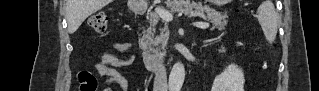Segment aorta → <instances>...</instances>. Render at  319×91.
Wrapping results in <instances>:
<instances>
[{
    "label": "aorta",
    "instance_id": "1",
    "mask_svg": "<svg viewBox=\"0 0 319 91\" xmlns=\"http://www.w3.org/2000/svg\"><path fill=\"white\" fill-rule=\"evenodd\" d=\"M185 79V68L181 62L174 64L169 76L170 91H180Z\"/></svg>",
    "mask_w": 319,
    "mask_h": 91
}]
</instances>
